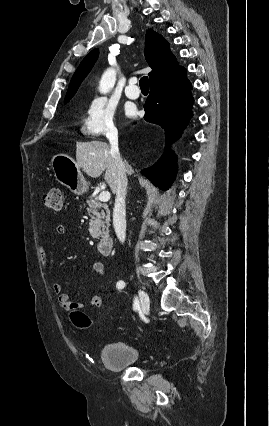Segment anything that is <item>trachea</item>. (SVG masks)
I'll return each instance as SVG.
<instances>
[{
    "mask_svg": "<svg viewBox=\"0 0 269 426\" xmlns=\"http://www.w3.org/2000/svg\"><path fill=\"white\" fill-rule=\"evenodd\" d=\"M139 85H140V88L148 89L149 88L148 77L147 76L142 77L139 81Z\"/></svg>",
    "mask_w": 269,
    "mask_h": 426,
    "instance_id": "trachea-1",
    "label": "trachea"
}]
</instances>
